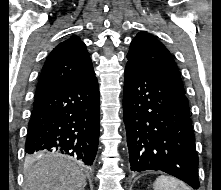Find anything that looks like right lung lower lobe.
<instances>
[{"label":"right lung lower lobe","mask_w":221,"mask_h":190,"mask_svg":"<svg viewBox=\"0 0 221 190\" xmlns=\"http://www.w3.org/2000/svg\"><path fill=\"white\" fill-rule=\"evenodd\" d=\"M99 113L95 73L35 97L26 153L68 154L92 165L99 141Z\"/></svg>","instance_id":"98d812e1"}]
</instances>
